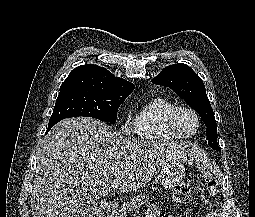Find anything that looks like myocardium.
Returning a JSON list of instances; mask_svg holds the SVG:
<instances>
[{"label": "myocardium", "mask_w": 255, "mask_h": 217, "mask_svg": "<svg viewBox=\"0 0 255 217\" xmlns=\"http://www.w3.org/2000/svg\"><path fill=\"white\" fill-rule=\"evenodd\" d=\"M183 113H188L191 116H193V118L196 121V128L193 132H186L181 124H180V116ZM168 121L169 124L172 128V130L174 132H176L178 135H180L182 138H190L195 136L198 131L200 130L201 127V119L200 116L198 115V113L190 108V107H186V106H176L168 115Z\"/></svg>", "instance_id": "obj_1"}]
</instances>
